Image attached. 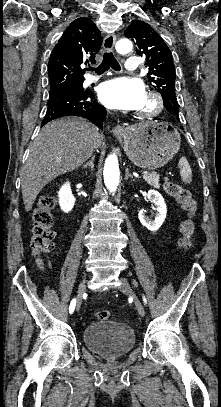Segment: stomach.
I'll return each mask as SVG.
<instances>
[{
    "mask_svg": "<svg viewBox=\"0 0 221 407\" xmlns=\"http://www.w3.org/2000/svg\"><path fill=\"white\" fill-rule=\"evenodd\" d=\"M127 157L137 166L155 170L166 165L180 149L177 129L165 122H142L119 137Z\"/></svg>",
    "mask_w": 221,
    "mask_h": 407,
    "instance_id": "1",
    "label": "stomach"
}]
</instances>
